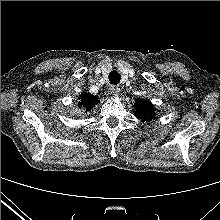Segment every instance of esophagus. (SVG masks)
Wrapping results in <instances>:
<instances>
[{
	"instance_id": "1",
	"label": "esophagus",
	"mask_w": 220,
	"mask_h": 220,
	"mask_svg": "<svg viewBox=\"0 0 220 220\" xmlns=\"http://www.w3.org/2000/svg\"><path fill=\"white\" fill-rule=\"evenodd\" d=\"M109 90H110V93H111L113 96H118L119 93H120V88H119V86L112 85V86H110Z\"/></svg>"
}]
</instances>
